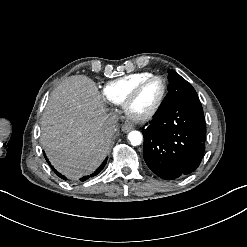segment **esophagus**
Returning <instances> with one entry per match:
<instances>
[{
	"label": "esophagus",
	"instance_id": "esophagus-1",
	"mask_svg": "<svg viewBox=\"0 0 247 247\" xmlns=\"http://www.w3.org/2000/svg\"><path fill=\"white\" fill-rule=\"evenodd\" d=\"M121 129L124 133H128L129 131L134 129V126L131 123H124Z\"/></svg>",
	"mask_w": 247,
	"mask_h": 247
}]
</instances>
